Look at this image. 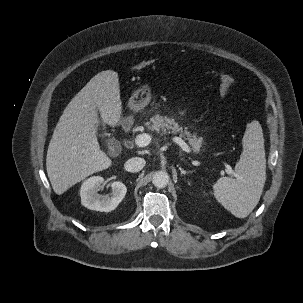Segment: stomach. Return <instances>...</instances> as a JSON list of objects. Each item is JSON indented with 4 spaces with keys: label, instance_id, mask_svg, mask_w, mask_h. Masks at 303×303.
<instances>
[{
    "label": "stomach",
    "instance_id": "stomach-1",
    "mask_svg": "<svg viewBox=\"0 0 303 303\" xmlns=\"http://www.w3.org/2000/svg\"><path fill=\"white\" fill-rule=\"evenodd\" d=\"M151 100V88L148 84L141 85L130 97L129 107L133 111H140L149 104Z\"/></svg>",
    "mask_w": 303,
    "mask_h": 303
}]
</instances>
